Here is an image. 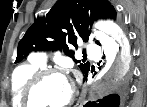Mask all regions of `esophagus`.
Returning <instances> with one entry per match:
<instances>
[{"label": "esophagus", "instance_id": "1", "mask_svg": "<svg viewBox=\"0 0 147 107\" xmlns=\"http://www.w3.org/2000/svg\"><path fill=\"white\" fill-rule=\"evenodd\" d=\"M86 93H87V90L84 88V89L82 90L81 98L79 99V101H78V103H77L78 106H81L82 103L85 102Z\"/></svg>", "mask_w": 147, "mask_h": 107}]
</instances>
